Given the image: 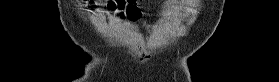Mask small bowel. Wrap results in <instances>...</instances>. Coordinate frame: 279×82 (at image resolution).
<instances>
[{
	"label": "small bowel",
	"mask_w": 279,
	"mask_h": 82,
	"mask_svg": "<svg viewBox=\"0 0 279 82\" xmlns=\"http://www.w3.org/2000/svg\"><path fill=\"white\" fill-rule=\"evenodd\" d=\"M94 10L101 9V14L114 13L115 19H119L123 15V10L127 7L135 5L133 0H105L96 1L93 4ZM167 6L162 8L165 11Z\"/></svg>",
	"instance_id": "obj_1"
}]
</instances>
